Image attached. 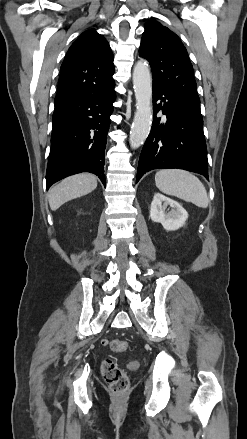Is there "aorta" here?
Listing matches in <instances>:
<instances>
[{
	"label": "aorta",
	"mask_w": 247,
	"mask_h": 439,
	"mask_svg": "<svg viewBox=\"0 0 247 439\" xmlns=\"http://www.w3.org/2000/svg\"><path fill=\"white\" fill-rule=\"evenodd\" d=\"M136 112L130 131V146L140 147L149 135L152 124V77L148 64L138 61L133 69Z\"/></svg>",
	"instance_id": "762f6f07"
}]
</instances>
